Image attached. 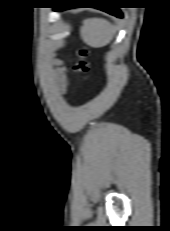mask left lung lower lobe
<instances>
[{
  "label": "left lung lower lobe",
  "instance_id": "left-lung-lower-lobe-1",
  "mask_svg": "<svg viewBox=\"0 0 170 231\" xmlns=\"http://www.w3.org/2000/svg\"><path fill=\"white\" fill-rule=\"evenodd\" d=\"M64 9H69V8H62V7L55 8V10H64ZM97 9L103 10L117 17H122V13L117 7H97Z\"/></svg>",
  "mask_w": 170,
  "mask_h": 231
}]
</instances>
